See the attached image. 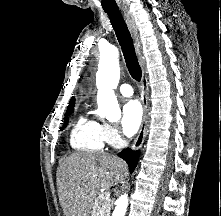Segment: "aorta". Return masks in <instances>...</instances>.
I'll list each match as a JSON object with an SVG mask.
<instances>
[{"instance_id": "aorta-1", "label": "aorta", "mask_w": 221, "mask_h": 216, "mask_svg": "<svg viewBox=\"0 0 221 216\" xmlns=\"http://www.w3.org/2000/svg\"><path fill=\"white\" fill-rule=\"evenodd\" d=\"M119 52L115 46H109L100 53L98 71L96 74L97 114L109 121H117L121 116L118 101L114 94L120 79ZM128 206L127 194L116 200L112 216H125Z\"/></svg>"}]
</instances>
